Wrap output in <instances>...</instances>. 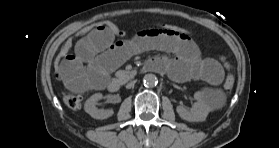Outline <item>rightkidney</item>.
<instances>
[{"instance_id": "right-kidney-1", "label": "right kidney", "mask_w": 279, "mask_h": 148, "mask_svg": "<svg viewBox=\"0 0 279 148\" xmlns=\"http://www.w3.org/2000/svg\"><path fill=\"white\" fill-rule=\"evenodd\" d=\"M102 98L101 93H95L90 98H88L84 104V110L91 117L95 119H107L113 115V110H101L97 109L96 103Z\"/></svg>"}]
</instances>
